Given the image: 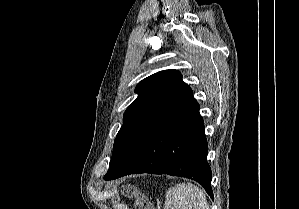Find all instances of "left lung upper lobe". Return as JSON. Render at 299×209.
Instances as JSON below:
<instances>
[{"label":"left lung upper lobe","instance_id":"1","mask_svg":"<svg viewBox=\"0 0 299 209\" xmlns=\"http://www.w3.org/2000/svg\"><path fill=\"white\" fill-rule=\"evenodd\" d=\"M187 86L182 81L180 72L171 69L152 74L138 83L135 89L138 97L124 113L123 125L116 136L109 167L129 137L157 109Z\"/></svg>","mask_w":299,"mask_h":209}]
</instances>
